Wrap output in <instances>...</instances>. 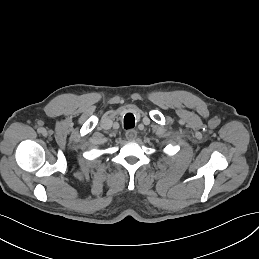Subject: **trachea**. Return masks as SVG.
Masks as SVG:
<instances>
[{
  "instance_id": "1",
  "label": "trachea",
  "mask_w": 259,
  "mask_h": 259,
  "mask_svg": "<svg viewBox=\"0 0 259 259\" xmlns=\"http://www.w3.org/2000/svg\"><path fill=\"white\" fill-rule=\"evenodd\" d=\"M135 126V117L132 113H127L124 117V128L131 129Z\"/></svg>"
}]
</instances>
